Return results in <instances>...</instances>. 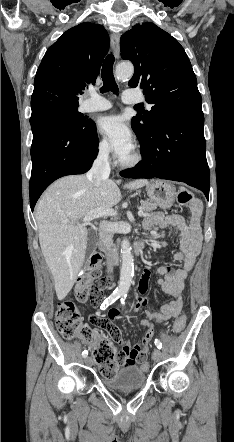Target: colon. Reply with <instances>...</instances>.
Listing matches in <instances>:
<instances>
[{
	"instance_id": "1",
	"label": "colon",
	"mask_w": 234,
	"mask_h": 442,
	"mask_svg": "<svg viewBox=\"0 0 234 442\" xmlns=\"http://www.w3.org/2000/svg\"><path fill=\"white\" fill-rule=\"evenodd\" d=\"M177 201L185 206L195 200L190 190L181 188L177 192ZM100 261L101 256L98 253L94 254L89 261L87 272L78 279L75 286L77 301L81 303L89 301L94 305L101 302L104 291L109 287L110 278L101 276ZM185 323L186 318L179 317L173 324V332L179 334L184 329ZM56 326L64 339L81 338L92 345L93 357L104 377L114 376L119 367L125 365L123 354L117 353L108 339L97 337L91 327L81 325L79 313L72 301H65L59 305L56 312ZM141 368L144 371L150 368L145 359Z\"/></svg>"
}]
</instances>
